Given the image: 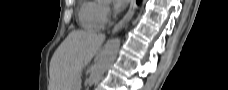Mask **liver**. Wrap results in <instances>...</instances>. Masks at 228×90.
<instances>
[{"instance_id":"liver-1","label":"liver","mask_w":228,"mask_h":90,"mask_svg":"<svg viewBox=\"0 0 228 90\" xmlns=\"http://www.w3.org/2000/svg\"><path fill=\"white\" fill-rule=\"evenodd\" d=\"M104 35L86 31H72L61 43L50 62L51 90H75L82 68L100 49Z\"/></svg>"}]
</instances>
